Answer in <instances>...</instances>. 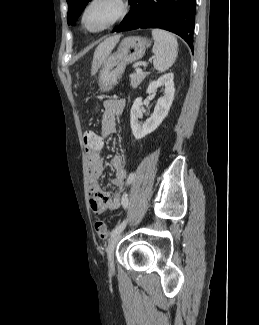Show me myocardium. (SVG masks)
Listing matches in <instances>:
<instances>
[{
	"mask_svg": "<svg viewBox=\"0 0 259 325\" xmlns=\"http://www.w3.org/2000/svg\"><path fill=\"white\" fill-rule=\"evenodd\" d=\"M99 0H88L85 5L83 6L81 13H80V25L81 27L88 33H100L103 32L105 30H108L110 28H112L113 26L117 25L118 23H120L128 14L129 12V2L128 0H115L117 2V4L119 5V13L118 15L112 19L110 22H108L107 24L98 27V28H90L87 24H86V14L89 10V8L96 2H98Z\"/></svg>",
	"mask_w": 259,
	"mask_h": 325,
	"instance_id": "1",
	"label": "myocardium"
}]
</instances>
